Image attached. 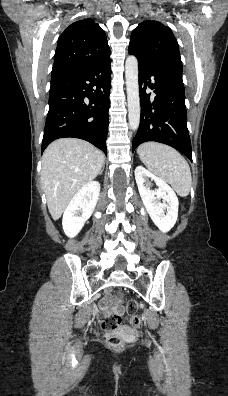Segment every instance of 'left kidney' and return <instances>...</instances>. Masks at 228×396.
<instances>
[{"mask_svg": "<svg viewBox=\"0 0 228 396\" xmlns=\"http://www.w3.org/2000/svg\"><path fill=\"white\" fill-rule=\"evenodd\" d=\"M135 179L143 204L154 224L162 232H168L178 217V198L173 189L143 166L135 169ZM149 179L153 180L157 189L151 190ZM163 200L161 202L160 200ZM165 210L167 213L165 214Z\"/></svg>", "mask_w": 228, "mask_h": 396, "instance_id": "obj_1", "label": "left kidney"}]
</instances>
